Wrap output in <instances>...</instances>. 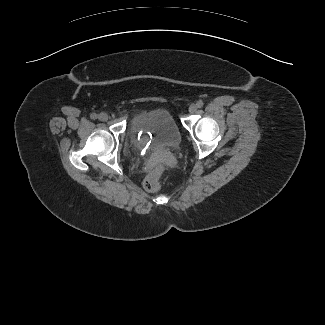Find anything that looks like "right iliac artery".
I'll list each match as a JSON object with an SVG mask.
<instances>
[{"label":"right iliac artery","mask_w":325,"mask_h":325,"mask_svg":"<svg viewBox=\"0 0 325 325\" xmlns=\"http://www.w3.org/2000/svg\"><path fill=\"white\" fill-rule=\"evenodd\" d=\"M90 117H91V119H93V120H94V119H96V118H97V114H96V113H92Z\"/></svg>","instance_id":"82829eb1"}]
</instances>
